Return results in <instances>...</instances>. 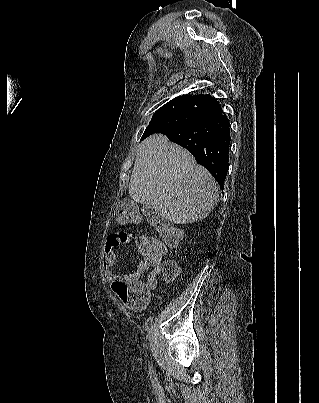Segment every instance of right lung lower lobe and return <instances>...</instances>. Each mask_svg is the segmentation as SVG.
I'll return each instance as SVG.
<instances>
[{"mask_svg":"<svg viewBox=\"0 0 319 403\" xmlns=\"http://www.w3.org/2000/svg\"><path fill=\"white\" fill-rule=\"evenodd\" d=\"M157 133L186 148L216 179L223 189L228 171L230 123L222 113L211 114L182 126L164 128Z\"/></svg>","mask_w":319,"mask_h":403,"instance_id":"98d812e1","label":"right lung lower lobe"}]
</instances>
